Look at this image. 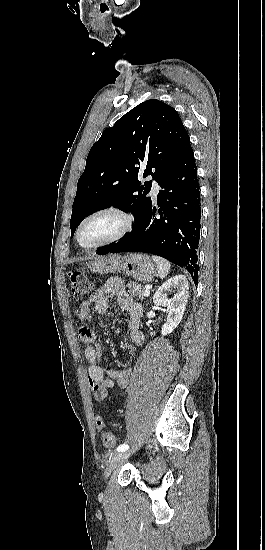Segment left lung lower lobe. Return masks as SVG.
Here are the masks:
<instances>
[{
  "label": "left lung lower lobe",
  "mask_w": 265,
  "mask_h": 550,
  "mask_svg": "<svg viewBox=\"0 0 265 550\" xmlns=\"http://www.w3.org/2000/svg\"><path fill=\"white\" fill-rule=\"evenodd\" d=\"M162 190L138 225L119 242L98 248V254L147 252L184 267L197 284L200 239V192L194 152L189 144L159 181Z\"/></svg>",
  "instance_id": "obj_1"
}]
</instances>
